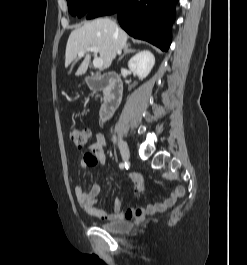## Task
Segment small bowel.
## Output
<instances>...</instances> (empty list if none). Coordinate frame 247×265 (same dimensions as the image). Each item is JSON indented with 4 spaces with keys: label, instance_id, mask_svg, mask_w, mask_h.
Here are the masks:
<instances>
[{
    "label": "small bowel",
    "instance_id": "obj_1",
    "mask_svg": "<svg viewBox=\"0 0 247 265\" xmlns=\"http://www.w3.org/2000/svg\"><path fill=\"white\" fill-rule=\"evenodd\" d=\"M105 160V139L101 134H97L96 139L89 147V150L82 156L80 165L82 168H89L104 164ZM128 174L135 184L134 194H140L144 188L141 176L135 172H130ZM100 192L101 187L98 183L93 184L88 191H85L80 185H77L74 188L75 197L84 211L91 216L106 221L122 219L141 220L147 215H152L164 211L184 195V189L182 187H177L162 202L152 203L145 208L132 207L126 209L125 211H121V202L116 199L114 201L113 211L108 212L103 209L97 208V202Z\"/></svg>",
    "mask_w": 247,
    "mask_h": 265
}]
</instances>
